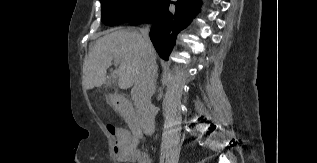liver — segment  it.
Segmentation results:
<instances>
[{"label":"liver","instance_id":"obj_1","mask_svg":"<svg viewBox=\"0 0 317 163\" xmlns=\"http://www.w3.org/2000/svg\"><path fill=\"white\" fill-rule=\"evenodd\" d=\"M156 56V55H155ZM113 59H119V87L134 85L142 64V36L133 30H116L100 37L93 46L84 69L86 89L100 87Z\"/></svg>","mask_w":317,"mask_h":163}]
</instances>
